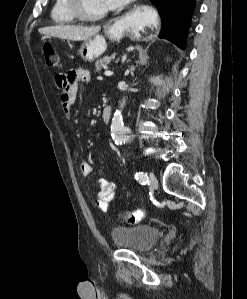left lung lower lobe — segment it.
Segmentation results:
<instances>
[{
  "mask_svg": "<svg viewBox=\"0 0 247 299\" xmlns=\"http://www.w3.org/2000/svg\"><path fill=\"white\" fill-rule=\"evenodd\" d=\"M162 20L159 37L167 39L184 49L190 27L195 0H150Z\"/></svg>",
  "mask_w": 247,
  "mask_h": 299,
  "instance_id": "obj_1",
  "label": "left lung lower lobe"
}]
</instances>
